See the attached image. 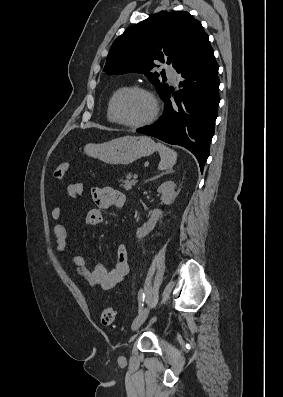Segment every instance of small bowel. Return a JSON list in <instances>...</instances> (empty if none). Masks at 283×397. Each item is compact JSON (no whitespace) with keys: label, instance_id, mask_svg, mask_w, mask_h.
Segmentation results:
<instances>
[{"label":"small bowel","instance_id":"obj_1","mask_svg":"<svg viewBox=\"0 0 283 397\" xmlns=\"http://www.w3.org/2000/svg\"><path fill=\"white\" fill-rule=\"evenodd\" d=\"M69 197L76 199L83 196L84 186L80 182L70 183L66 188ZM91 198L95 207L90 208L85 217V222L89 225H98L102 221V209L111 207L121 208L124 206L125 195L110 187H94L91 191ZM54 220L53 233L56 239V250L62 252L67 245L68 233L62 223V212L59 207H54L51 212ZM72 261L75 265V273L86 279L88 284L93 287H100L103 290L114 288L120 283L129 272L128 252L123 244H119L116 249V262L111 270L103 264H96L92 269L86 266V259L81 254H74Z\"/></svg>","mask_w":283,"mask_h":397}]
</instances>
